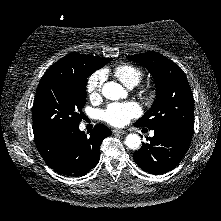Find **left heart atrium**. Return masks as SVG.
Returning <instances> with one entry per match:
<instances>
[{
  "label": "left heart atrium",
  "mask_w": 221,
  "mask_h": 221,
  "mask_svg": "<svg viewBox=\"0 0 221 221\" xmlns=\"http://www.w3.org/2000/svg\"><path fill=\"white\" fill-rule=\"evenodd\" d=\"M140 114V106L136 102L129 101L110 103L101 111L100 115L106 123L115 127H122Z\"/></svg>",
  "instance_id": "1"
}]
</instances>
